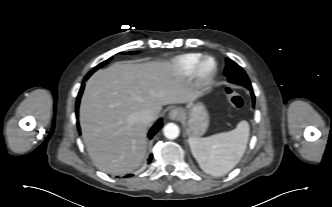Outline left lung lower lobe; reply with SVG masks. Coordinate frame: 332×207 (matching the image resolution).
Segmentation results:
<instances>
[{"label": "left lung lower lobe", "instance_id": "obj_1", "mask_svg": "<svg viewBox=\"0 0 332 207\" xmlns=\"http://www.w3.org/2000/svg\"><path fill=\"white\" fill-rule=\"evenodd\" d=\"M247 89H249L250 91H251V95H252V97H253V103L255 102V96H254V93H253V91H252V87H249V88H247Z\"/></svg>", "mask_w": 332, "mask_h": 207}]
</instances>
